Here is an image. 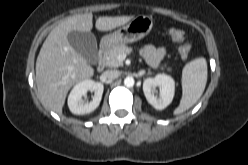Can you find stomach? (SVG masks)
I'll return each mask as SVG.
<instances>
[{
    "label": "stomach",
    "instance_id": "obj_1",
    "mask_svg": "<svg viewBox=\"0 0 248 165\" xmlns=\"http://www.w3.org/2000/svg\"><path fill=\"white\" fill-rule=\"evenodd\" d=\"M152 27L153 20L151 17L139 15L113 33L104 36L102 43L111 47L133 43L145 37Z\"/></svg>",
    "mask_w": 248,
    "mask_h": 165
}]
</instances>
